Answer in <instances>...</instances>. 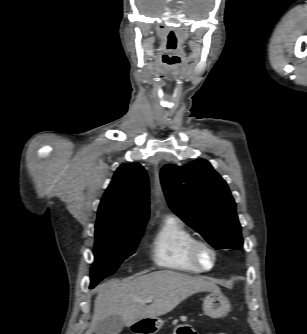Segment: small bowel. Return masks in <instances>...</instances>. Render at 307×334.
Segmentation results:
<instances>
[{"label":"small bowel","mask_w":307,"mask_h":334,"mask_svg":"<svg viewBox=\"0 0 307 334\" xmlns=\"http://www.w3.org/2000/svg\"><path fill=\"white\" fill-rule=\"evenodd\" d=\"M174 334H196L187 328H179L175 331ZM219 334H226V333H219Z\"/></svg>","instance_id":"obj_1"}]
</instances>
